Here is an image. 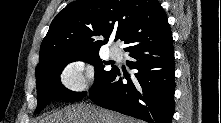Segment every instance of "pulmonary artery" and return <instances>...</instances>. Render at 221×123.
<instances>
[{
	"instance_id": "pulmonary-artery-1",
	"label": "pulmonary artery",
	"mask_w": 221,
	"mask_h": 123,
	"mask_svg": "<svg viewBox=\"0 0 221 123\" xmlns=\"http://www.w3.org/2000/svg\"><path fill=\"white\" fill-rule=\"evenodd\" d=\"M110 54L111 57L114 59H119L121 57V51L116 48H112Z\"/></svg>"
}]
</instances>
